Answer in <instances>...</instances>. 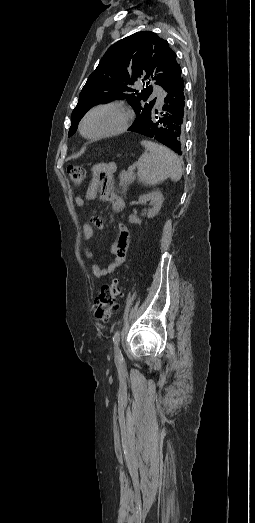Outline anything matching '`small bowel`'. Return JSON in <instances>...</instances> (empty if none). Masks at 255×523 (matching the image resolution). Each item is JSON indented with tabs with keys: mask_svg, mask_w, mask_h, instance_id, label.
Returning a JSON list of instances; mask_svg holds the SVG:
<instances>
[{
	"mask_svg": "<svg viewBox=\"0 0 255 523\" xmlns=\"http://www.w3.org/2000/svg\"><path fill=\"white\" fill-rule=\"evenodd\" d=\"M110 170H114L113 166L108 167ZM93 172H96V169L93 170ZM96 196V189L93 185H91L85 195V198L83 197H76L75 204L77 207H83L85 205V200H92ZM103 197L109 201L112 205V208L115 212H121L124 208V201L115 194L113 190V183L112 179H107L106 183L103 187ZM93 227L97 229H103L104 228V221L98 217L93 216L91 218V222H85L82 225V235L83 239L86 243V246L84 248V254L87 259L91 261V272L96 278H103L105 276H108L112 274L117 268L121 267L125 262V256L127 253L128 245H129V231L127 227L123 224H120L118 226V237L117 240L112 244L111 246V253L114 256V261L108 265V267L103 268L99 266L94 261V255L90 247L88 246V243L92 239L94 235V229Z\"/></svg>",
	"mask_w": 255,
	"mask_h": 523,
	"instance_id": "1",
	"label": "small bowel"
}]
</instances>
